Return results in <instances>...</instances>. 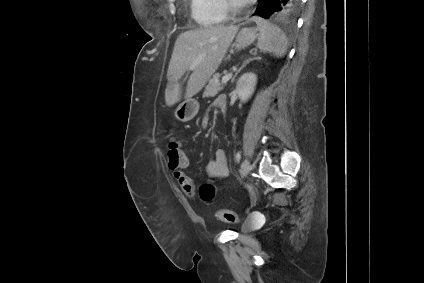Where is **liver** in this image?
<instances>
[{"mask_svg":"<svg viewBox=\"0 0 424 283\" xmlns=\"http://www.w3.org/2000/svg\"><path fill=\"white\" fill-rule=\"evenodd\" d=\"M238 26H212L185 31L176 39L168 67L165 102L172 106L181 99L178 80L186 71H192L185 98L196 95L216 72L235 35Z\"/></svg>","mask_w":424,"mask_h":283,"instance_id":"obj_1","label":"liver"}]
</instances>
